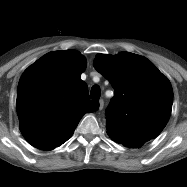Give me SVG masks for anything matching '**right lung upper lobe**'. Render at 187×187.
<instances>
[{
	"label": "right lung upper lobe",
	"instance_id": "1",
	"mask_svg": "<svg viewBox=\"0 0 187 187\" xmlns=\"http://www.w3.org/2000/svg\"><path fill=\"white\" fill-rule=\"evenodd\" d=\"M86 59L78 51L50 52L29 66L17 89L20 130L34 147L52 150L73 134L85 113L98 110L80 76Z\"/></svg>",
	"mask_w": 187,
	"mask_h": 187
}]
</instances>
